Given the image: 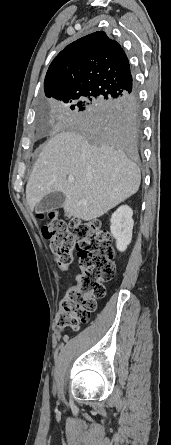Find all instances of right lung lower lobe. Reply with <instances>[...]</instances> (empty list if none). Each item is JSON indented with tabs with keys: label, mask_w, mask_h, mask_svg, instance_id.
<instances>
[{
	"label": "right lung lower lobe",
	"mask_w": 171,
	"mask_h": 445,
	"mask_svg": "<svg viewBox=\"0 0 171 445\" xmlns=\"http://www.w3.org/2000/svg\"><path fill=\"white\" fill-rule=\"evenodd\" d=\"M94 112L97 140L113 145L132 158L138 157L139 114L136 92L123 98L105 96Z\"/></svg>",
	"instance_id": "right-lung-lower-lobe-1"
}]
</instances>
